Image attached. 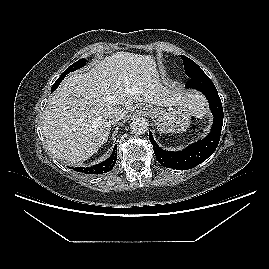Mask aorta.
Returning <instances> with one entry per match:
<instances>
[{"mask_svg": "<svg viewBox=\"0 0 269 269\" xmlns=\"http://www.w3.org/2000/svg\"><path fill=\"white\" fill-rule=\"evenodd\" d=\"M130 129L134 134H143L148 130V122L143 117H136L130 123Z\"/></svg>", "mask_w": 269, "mask_h": 269, "instance_id": "obj_1", "label": "aorta"}]
</instances>
